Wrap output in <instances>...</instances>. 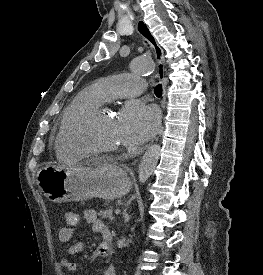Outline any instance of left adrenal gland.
<instances>
[{
    "mask_svg": "<svg viewBox=\"0 0 263 275\" xmlns=\"http://www.w3.org/2000/svg\"><path fill=\"white\" fill-rule=\"evenodd\" d=\"M123 218H124V222H125V223L129 222V220H130V218H131V217L128 215L127 209H126V208H125L124 211H123Z\"/></svg>",
    "mask_w": 263,
    "mask_h": 275,
    "instance_id": "obj_1",
    "label": "left adrenal gland"
}]
</instances>
